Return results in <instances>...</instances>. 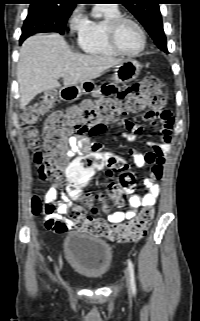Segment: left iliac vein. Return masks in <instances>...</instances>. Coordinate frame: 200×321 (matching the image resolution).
Listing matches in <instances>:
<instances>
[{
    "label": "left iliac vein",
    "mask_w": 200,
    "mask_h": 321,
    "mask_svg": "<svg viewBox=\"0 0 200 321\" xmlns=\"http://www.w3.org/2000/svg\"><path fill=\"white\" fill-rule=\"evenodd\" d=\"M125 280H126V286H127L128 292L131 293L132 292L131 280H130V274L128 270H125Z\"/></svg>",
    "instance_id": "left-iliac-vein-1"
}]
</instances>
